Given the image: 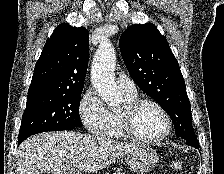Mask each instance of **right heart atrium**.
Returning <instances> with one entry per match:
<instances>
[{
    "label": "right heart atrium",
    "mask_w": 224,
    "mask_h": 174,
    "mask_svg": "<svg viewBox=\"0 0 224 174\" xmlns=\"http://www.w3.org/2000/svg\"><path fill=\"white\" fill-rule=\"evenodd\" d=\"M78 110L83 125L90 133L98 136L105 133L109 125V111L94 89L84 93Z\"/></svg>",
    "instance_id": "obj_1"
}]
</instances>
